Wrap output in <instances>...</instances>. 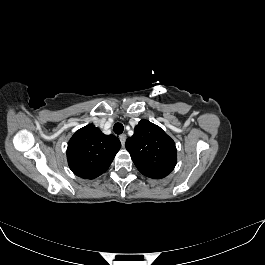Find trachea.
Masks as SVG:
<instances>
[{
	"mask_svg": "<svg viewBox=\"0 0 265 265\" xmlns=\"http://www.w3.org/2000/svg\"><path fill=\"white\" fill-rule=\"evenodd\" d=\"M123 130H124V127H123V125L121 124V123H116L115 125H114V132L117 134V135H119V134H121L122 132H123Z\"/></svg>",
	"mask_w": 265,
	"mask_h": 265,
	"instance_id": "1",
	"label": "trachea"
}]
</instances>
